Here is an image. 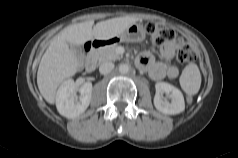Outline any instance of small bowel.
Here are the masks:
<instances>
[{"label":"small bowel","instance_id":"1","mask_svg":"<svg viewBox=\"0 0 238 158\" xmlns=\"http://www.w3.org/2000/svg\"><path fill=\"white\" fill-rule=\"evenodd\" d=\"M178 47L177 42H168L161 47L160 53L165 61L171 60ZM137 65L142 70L148 72L154 80L164 78L175 79L179 75V70L175 65L168 64L163 61H156L154 56L149 52H143L137 59Z\"/></svg>","mask_w":238,"mask_h":158}]
</instances>
